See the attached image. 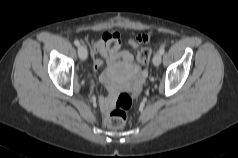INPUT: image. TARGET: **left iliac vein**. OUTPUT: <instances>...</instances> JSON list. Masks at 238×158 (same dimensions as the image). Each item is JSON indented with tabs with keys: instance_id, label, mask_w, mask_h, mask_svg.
Wrapping results in <instances>:
<instances>
[{
	"instance_id": "4c4485c4",
	"label": "left iliac vein",
	"mask_w": 238,
	"mask_h": 158,
	"mask_svg": "<svg viewBox=\"0 0 238 158\" xmlns=\"http://www.w3.org/2000/svg\"><path fill=\"white\" fill-rule=\"evenodd\" d=\"M161 63V55L159 53H156L153 57V64L155 66H159Z\"/></svg>"
}]
</instances>
